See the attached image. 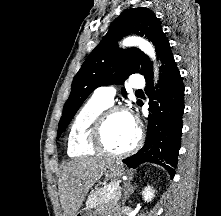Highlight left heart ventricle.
<instances>
[{
  "label": "left heart ventricle",
  "instance_id": "obj_1",
  "mask_svg": "<svg viewBox=\"0 0 221 216\" xmlns=\"http://www.w3.org/2000/svg\"><path fill=\"white\" fill-rule=\"evenodd\" d=\"M135 138V125L129 115L117 113L110 117L104 130V142L109 149L115 151L126 149Z\"/></svg>",
  "mask_w": 221,
  "mask_h": 216
}]
</instances>
